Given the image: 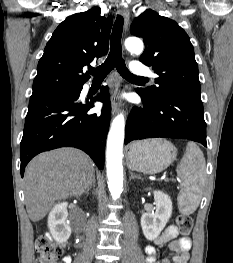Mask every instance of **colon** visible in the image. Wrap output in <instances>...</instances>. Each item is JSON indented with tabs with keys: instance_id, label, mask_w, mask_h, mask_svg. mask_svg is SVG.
I'll list each match as a JSON object with an SVG mask.
<instances>
[{
	"instance_id": "5ec220e1",
	"label": "colon",
	"mask_w": 233,
	"mask_h": 263,
	"mask_svg": "<svg viewBox=\"0 0 233 263\" xmlns=\"http://www.w3.org/2000/svg\"><path fill=\"white\" fill-rule=\"evenodd\" d=\"M177 224L182 234H188L193 226L192 217L181 214L177 218ZM35 249L37 252L35 263H57L63 253L64 246L55 242L50 234H45L36 239Z\"/></svg>"
}]
</instances>
